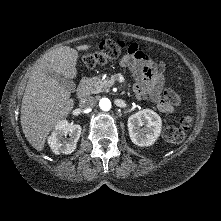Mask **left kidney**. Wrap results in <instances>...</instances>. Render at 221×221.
Returning a JSON list of instances; mask_svg holds the SVG:
<instances>
[{"mask_svg": "<svg viewBox=\"0 0 221 221\" xmlns=\"http://www.w3.org/2000/svg\"><path fill=\"white\" fill-rule=\"evenodd\" d=\"M127 125L132 142L144 147L153 145L157 140L161 133L162 121L153 110L143 109L131 115Z\"/></svg>", "mask_w": 221, "mask_h": 221, "instance_id": "5707ae66", "label": "left kidney"}]
</instances>
